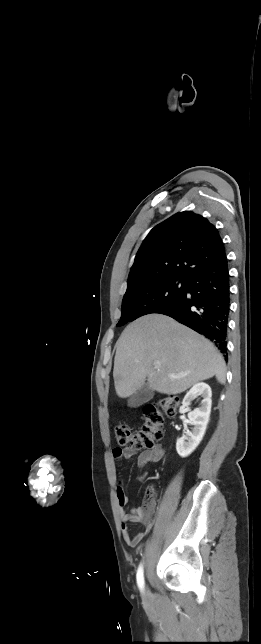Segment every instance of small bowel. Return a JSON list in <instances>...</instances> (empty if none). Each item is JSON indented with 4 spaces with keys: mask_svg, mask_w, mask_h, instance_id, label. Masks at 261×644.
<instances>
[{
    "mask_svg": "<svg viewBox=\"0 0 261 644\" xmlns=\"http://www.w3.org/2000/svg\"><path fill=\"white\" fill-rule=\"evenodd\" d=\"M134 456H137V466L139 469L146 466L148 463L159 462L164 456V450L161 446L156 445L150 449L140 451L134 447H115L112 450V457L115 460L130 459ZM153 488L148 487L147 493H152ZM116 497L119 505V514L121 521V528L123 533V538L125 542L130 546H137L140 542L148 535L153 527V522L148 518L146 513L142 508H134L131 510H126L125 506L128 503V497L125 493V490L120 481L119 486L116 490ZM130 523H142L143 530L136 533L135 535H130L128 531V525Z\"/></svg>",
    "mask_w": 261,
    "mask_h": 644,
    "instance_id": "c3829d8e",
    "label": "small bowel"
}]
</instances>
